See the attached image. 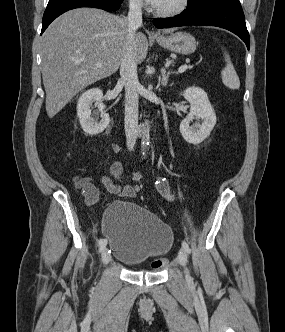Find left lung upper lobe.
<instances>
[{"label":"left lung upper lobe","instance_id":"obj_1","mask_svg":"<svg viewBox=\"0 0 285 332\" xmlns=\"http://www.w3.org/2000/svg\"><path fill=\"white\" fill-rule=\"evenodd\" d=\"M206 1H209V0H188V8H191L193 6H196V5L206 2Z\"/></svg>","mask_w":285,"mask_h":332}]
</instances>
